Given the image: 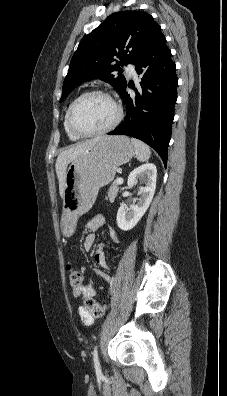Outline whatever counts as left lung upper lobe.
<instances>
[{
  "label": "left lung upper lobe",
  "instance_id": "1",
  "mask_svg": "<svg viewBox=\"0 0 227 396\" xmlns=\"http://www.w3.org/2000/svg\"><path fill=\"white\" fill-rule=\"evenodd\" d=\"M163 34L153 17L142 11L111 14L79 43L63 84L61 100L80 83L101 79L119 93L126 87L120 66L134 63ZM118 58L120 61H116ZM119 71V75H114Z\"/></svg>",
  "mask_w": 227,
  "mask_h": 396
}]
</instances>
